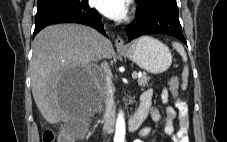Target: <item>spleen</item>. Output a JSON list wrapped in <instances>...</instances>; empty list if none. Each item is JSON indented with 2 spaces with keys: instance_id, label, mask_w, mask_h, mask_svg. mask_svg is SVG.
<instances>
[{
  "instance_id": "1",
  "label": "spleen",
  "mask_w": 227,
  "mask_h": 142,
  "mask_svg": "<svg viewBox=\"0 0 227 142\" xmlns=\"http://www.w3.org/2000/svg\"><path fill=\"white\" fill-rule=\"evenodd\" d=\"M173 47L177 50V52L182 56L183 61L186 63L187 62V55L186 52L183 48V46L177 42H173ZM188 75H189V69L188 66L185 65L183 68L182 72V85L181 88L182 90H186L187 85H188Z\"/></svg>"
}]
</instances>
